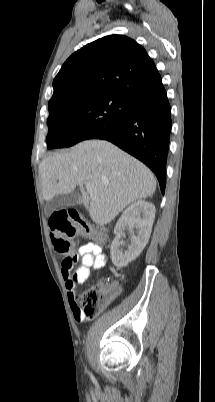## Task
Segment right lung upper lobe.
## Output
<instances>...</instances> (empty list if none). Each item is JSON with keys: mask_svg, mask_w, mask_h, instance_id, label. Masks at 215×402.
Wrapping results in <instances>:
<instances>
[{"mask_svg": "<svg viewBox=\"0 0 215 402\" xmlns=\"http://www.w3.org/2000/svg\"><path fill=\"white\" fill-rule=\"evenodd\" d=\"M53 88L51 100L110 94L130 101L164 89L145 49L122 35L105 36L72 54L55 77Z\"/></svg>", "mask_w": 215, "mask_h": 402, "instance_id": "right-lung-upper-lobe-1", "label": "right lung upper lobe"}]
</instances>
